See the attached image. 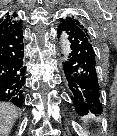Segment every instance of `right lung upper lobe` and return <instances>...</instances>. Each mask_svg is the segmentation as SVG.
Returning a JSON list of instances; mask_svg holds the SVG:
<instances>
[{
    "label": "right lung upper lobe",
    "mask_w": 117,
    "mask_h": 136,
    "mask_svg": "<svg viewBox=\"0 0 117 136\" xmlns=\"http://www.w3.org/2000/svg\"><path fill=\"white\" fill-rule=\"evenodd\" d=\"M17 15L14 13L13 15L7 14L6 16L2 17L0 20V39L4 37L5 34L9 30L15 27L16 23L19 21Z\"/></svg>",
    "instance_id": "1"
}]
</instances>
